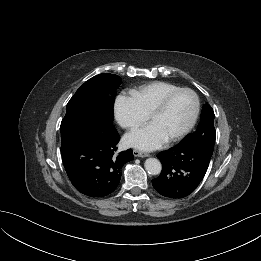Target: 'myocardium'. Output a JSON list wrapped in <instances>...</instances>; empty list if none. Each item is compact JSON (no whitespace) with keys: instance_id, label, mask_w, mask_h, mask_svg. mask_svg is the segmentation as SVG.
I'll list each match as a JSON object with an SVG mask.
<instances>
[{"instance_id":"f54148a6","label":"myocardium","mask_w":261,"mask_h":261,"mask_svg":"<svg viewBox=\"0 0 261 261\" xmlns=\"http://www.w3.org/2000/svg\"><path fill=\"white\" fill-rule=\"evenodd\" d=\"M182 93H189L193 96V98H194V110H193L191 119L188 122V124L186 125V127L182 131H180L179 133L168 138V141H170V142L178 141V140L184 138L194 127V125L197 121V118L199 116L200 106H201L200 98H199L198 94L194 90L189 89V88H180V89H177L175 91H172L171 93L166 95L163 98V100L149 114V120H150L154 116L163 113L168 108L171 101L176 96H178L179 94H182Z\"/></svg>"}]
</instances>
